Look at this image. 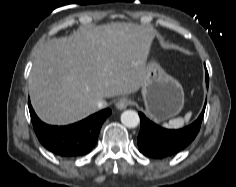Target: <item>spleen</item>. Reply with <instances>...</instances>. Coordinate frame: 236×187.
Here are the masks:
<instances>
[{
  "label": "spleen",
  "mask_w": 236,
  "mask_h": 187,
  "mask_svg": "<svg viewBox=\"0 0 236 187\" xmlns=\"http://www.w3.org/2000/svg\"><path fill=\"white\" fill-rule=\"evenodd\" d=\"M192 116V112H188L184 118L178 117L175 119H171L168 123H163L162 127L167 129H179L184 126L185 123H188Z\"/></svg>",
  "instance_id": "spleen-1"
}]
</instances>
